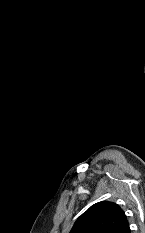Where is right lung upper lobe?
Instances as JSON below:
<instances>
[{"label":"right lung upper lobe","instance_id":"1","mask_svg":"<svg viewBox=\"0 0 145 233\" xmlns=\"http://www.w3.org/2000/svg\"><path fill=\"white\" fill-rule=\"evenodd\" d=\"M70 233H130L124 211L115 203L92 205L75 222Z\"/></svg>","mask_w":145,"mask_h":233}]
</instances>
